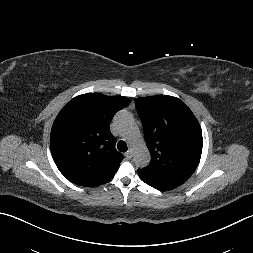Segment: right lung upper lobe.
I'll list each match as a JSON object with an SVG mask.
<instances>
[{"mask_svg": "<svg viewBox=\"0 0 253 253\" xmlns=\"http://www.w3.org/2000/svg\"><path fill=\"white\" fill-rule=\"evenodd\" d=\"M130 99L87 93L70 100L57 115L50 136L54 162L71 182L95 187L110 180L123 155L110 132L114 114Z\"/></svg>", "mask_w": 253, "mask_h": 253, "instance_id": "1", "label": "right lung upper lobe"}]
</instances>
